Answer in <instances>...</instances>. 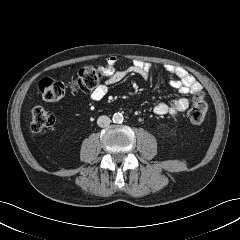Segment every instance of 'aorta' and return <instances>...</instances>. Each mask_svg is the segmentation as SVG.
Here are the masks:
<instances>
[{
    "label": "aorta",
    "instance_id": "762f6f07",
    "mask_svg": "<svg viewBox=\"0 0 240 240\" xmlns=\"http://www.w3.org/2000/svg\"><path fill=\"white\" fill-rule=\"evenodd\" d=\"M113 122L114 123H122L123 122V115H122V113H114V115H113Z\"/></svg>",
    "mask_w": 240,
    "mask_h": 240
}]
</instances>
